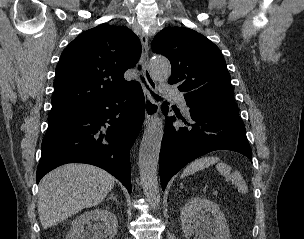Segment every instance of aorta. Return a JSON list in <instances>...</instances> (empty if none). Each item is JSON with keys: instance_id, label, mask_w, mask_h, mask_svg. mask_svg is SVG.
Instances as JSON below:
<instances>
[{"instance_id": "aorta-1", "label": "aorta", "mask_w": 304, "mask_h": 239, "mask_svg": "<svg viewBox=\"0 0 304 239\" xmlns=\"http://www.w3.org/2000/svg\"><path fill=\"white\" fill-rule=\"evenodd\" d=\"M150 71L157 80H166L171 75L170 62L163 56H155L150 60ZM163 133L162 120L155 117L146 128L139 149L140 181L147 200L153 206L160 201L157 166Z\"/></svg>"}]
</instances>
